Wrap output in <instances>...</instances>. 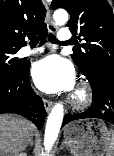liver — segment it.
<instances>
[{"mask_svg": "<svg viewBox=\"0 0 114 156\" xmlns=\"http://www.w3.org/2000/svg\"><path fill=\"white\" fill-rule=\"evenodd\" d=\"M33 131V123L22 117L0 115V156H13L23 150Z\"/></svg>", "mask_w": 114, "mask_h": 156, "instance_id": "obj_1", "label": "liver"}]
</instances>
